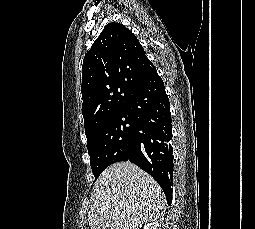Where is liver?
<instances>
[{"label":"liver","mask_w":255,"mask_h":229,"mask_svg":"<svg viewBox=\"0 0 255 229\" xmlns=\"http://www.w3.org/2000/svg\"><path fill=\"white\" fill-rule=\"evenodd\" d=\"M91 200L90 229H139L159 218L166 203L157 182L129 161L114 163L103 171Z\"/></svg>","instance_id":"liver-1"}]
</instances>
